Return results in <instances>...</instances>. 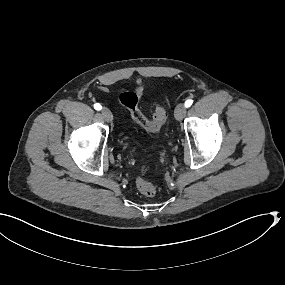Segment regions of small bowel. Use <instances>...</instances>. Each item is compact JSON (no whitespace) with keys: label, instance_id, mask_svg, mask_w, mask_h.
<instances>
[{"label":"small bowel","instance_id":"obj_1","mask_svg":"<svg viewBox=\"0 0 285 285\" xmlns=\"http://www.w3.org/2000/svg\"><path fill=\"white\" fill-rule=\"evenodd\" d=\"M143 90H144L143 84H138V85L136 86V93H137L138 95H141V94L143 93Z\"/></svg>","mask_w":285,"mask_h":285}]
</instances>
